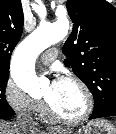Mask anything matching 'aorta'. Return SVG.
Segmentation results:
<instances>
[{"label": "aorta", "mask_w": 116, "mask_h": 134, "mask_svg": "<svg viewBox=\"0 0 116 134\" xmlns=\"http://www.w3.org/2000/svg\"><path fill=\"white\" fill-rule=\"evenodd\" d=\"M68 30L69 22L65 18L55 23H41L16 48L11 63V75L21 90L31 96L43 92L47 80L36 75L34 62L46 48L64 39Z\"/></svg>", "instance_id": "762f6f07"}]
</instances>
